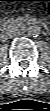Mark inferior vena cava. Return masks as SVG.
Returning a JSON list of instances; mask_svg holds the SVG:
<instances>
[{
    "instance_id": "obj_1",
    "label": "inferior vena cava",
    "mask_w": 50,
    "mask_h": 111,
    "mask_svg": "<svg viewBox=\"0 0 50 111\" xmlns=\"http://www.w3.org/2000/svg\"><path fill=\"white\" fill-rule=\"evenodd\" d=\"M23 31L22 30H18V31H14L13 33H11V36H21L23 35Z\"/></svg>"
}]
</instances>
